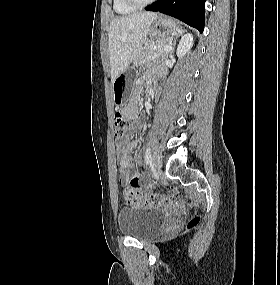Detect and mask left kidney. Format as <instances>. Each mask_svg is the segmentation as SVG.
<instances>
[{"label": "left kidney", "instance_id": "obj_1", "mask_svg": "<svg viewBox=\"0 0 280 285\" xmlns=\"http://www.w3.org/2000/svg\"><path fill=\"white\" fill-rule=\"evenodd\" d=\"M192 45H193L192 34L190 33L185 34L179 42L177 48V56L182 58L187 52H189Z\"/></svg>", "mask_w": 280, "mask_h": 285}]
</instances>
